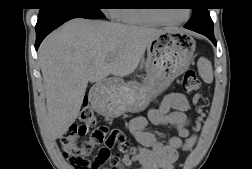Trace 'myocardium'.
Masks as SVG:
<instances>
[{"label":"myocardium","mask_w":252,"mask_h":169,"mask_svg":"<svg viewBox=\"0 0 252 169\" xmlns=\"http://www.w3.org/2000/svg\"><path fill=\"white\" fill-rule=\"evenodd\" d=\"M144 15L146 17H148L150 20L157 22V23L176 25V24H181V23L186 22L190 17V12H189V10H187L185 17L179 21H168V20H165V19H163L155 14H152L150 12H145Z\"/></svg>","instance_id":"1"}]
</instances>
